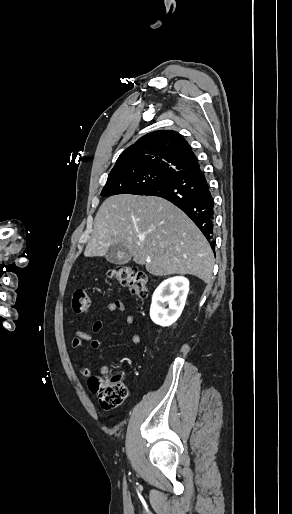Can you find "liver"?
<instances>
[{"label": "liver", "instance_id": "1", "mask_svg": "<svg viewBox=\"0 0 292 514\" xmlns=\"http://www.w3.org/2000/svg\"><path fill=\"white\" fill-rule=\"evenodd\" d=\"M121 244L153 276L193 274L209 284L214 254L192 220L157 196H110L100 206L84 256Z\"/></svg>", "mask_w": 292, "mask_h": 514}]
</instances>
